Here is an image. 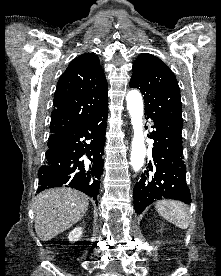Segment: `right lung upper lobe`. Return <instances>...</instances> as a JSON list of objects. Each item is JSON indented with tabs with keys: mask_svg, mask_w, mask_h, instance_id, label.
<instances>
[{
	"mask_svg": "<svg viewBox=\"0 0 221 276\" xmlns=\"http://www.w3.org/2000/svg\"><path fill=\"white\" fill-rule=\"evenodd\" d=\"M50 137L63 138L108 107V85L94 53L75 58L58 80Z\"/></svg>",
	"mask_w": 221,
	"mask_h": 276,
	"instance_id": "obj_1",
	"label": "right lung upper lobe"
}]
</instances>
